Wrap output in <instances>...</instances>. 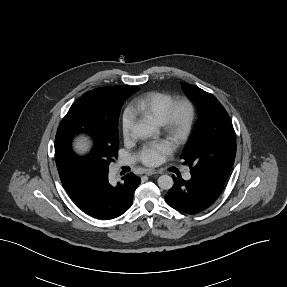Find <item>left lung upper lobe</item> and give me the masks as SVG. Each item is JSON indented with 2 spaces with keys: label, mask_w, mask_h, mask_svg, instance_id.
I'll use <instances>...</instances> for the list:
<instances>
[{
  "label": "left lung upper lobe",
  "mask_w": 287,
  "mask_h": 287,
  "mask_svg": "<svg viewBox=\"0 0 287 287\" xmlns=\"http://www.w3.org/2000/svg\"><path fill=\"white\" fill-rule=\"evenodd\" d=\"M185 91L199 110V124L181 159L190 171L225 183L236 155V134L221 103L210 93L187 83Z\"/></svg>",
  "instance_id": "obj_1"
}]
</instances>
